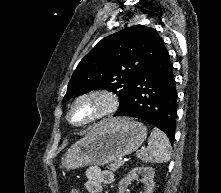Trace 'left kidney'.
I'll return each mask as SVG.
<instances>
[{
	"mask_svg": "<svg viewBox=\"0 0 221 193\" xmlns=\"http://www.w3.org/2000/svg\"><path fill=\"white\" fill-rule=\"evenodd\" d=\"M154 169L152 167H136L131 170L126 177L119 182V193H124L130 181L141 175L145 185L144 193H153L154 188Z\"/></svg>",
	"mask_w": 221,
	"mask_h": 193,
	"instance_id": "obj_1",
	"label": "left kidney"
}]
</instances>
